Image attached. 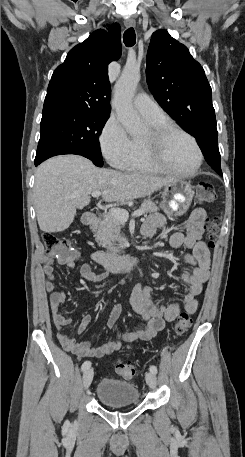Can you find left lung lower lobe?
Masks as SVG:
<instances>
[{
	"label": "left lung lower lobe",
	"instance_id": "0a47b994",
	"mask_svg": "<svg viewBox=\"0 0 245 457\" xmlns=\"http://www.w3.org/2000/svg\"><path fill=\"white\" fill-rule=\"evenodd\" d=\"M195 138L208 164L212 167V169H214L219 175L222 176L220 166V153L217 144L218 134L216 127H208L202 133L197 134Z\"/></svg>",
	"mask_w": 245,
	"mask_h": 457
}]
</instances>
